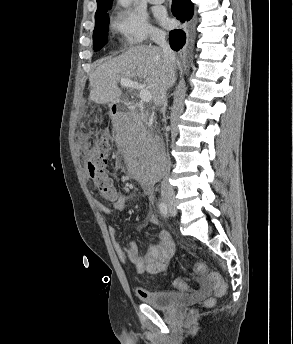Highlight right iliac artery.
Returning <instances> with one entry per match:
<instances>
[{
    "label": "right iliac artery",
    "mask_w": 293,
    "mask_h": 344,
    "mask_svg": "<svg viewBox=\"0 0 293 344\" xmlns=\"http://www.w3.org/2000/svg\"><path fill=\"white\" fill-rule=\"evenodd\" d=\"M158 207H159L160 213L162 215L168 216V207H167V204L165 202H160Z\"/></svg>",
    "instance_id": "obj_1"
}]
</instances>
